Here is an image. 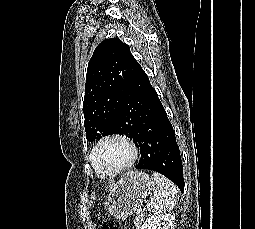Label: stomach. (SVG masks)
Here are the masks:
<instances>
[{"mask_svg": "<svg viewBox=\"0 0 255 229\" xmlns=\"http://www.w3.org/2000/svg\"><path fill=\"white\" fill-rule=\"evenodd\" d=\"M151 180L145 172L129 171L111 188L105 207L111 216L125 220L138 210L152 190Z\"/></svg>", "mask_w": 255, "mask_h": 229, "instance_id": "0dacf381", "label": "stomach"}]
</instances>
